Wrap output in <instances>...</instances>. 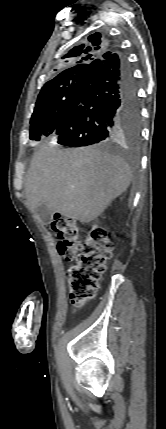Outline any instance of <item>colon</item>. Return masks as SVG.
<instances>
[{"mask_svg":"<svg viewBox=\"0 0 166 429\" xmlns=\"http://www.w3.org/2000/svg\"><path fill=\"white\" fill-rule=\"evenodd\" d=\"M52 228L58 238V253L66 260L76 261L69 271L70 300L73 306L82 307L97 292L99 279L112 255V242L101 225L91 228L84 243L78 225L71 219L57 216Z\"/></svg>","mask_w":166,"mask_h":429,"instance_id":"colon-1","label":"colon"}]
</instances>
